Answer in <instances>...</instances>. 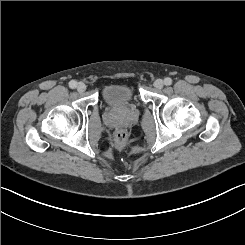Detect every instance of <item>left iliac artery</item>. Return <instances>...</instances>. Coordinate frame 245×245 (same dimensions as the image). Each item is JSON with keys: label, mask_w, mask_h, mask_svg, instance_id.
Masks as SVG:
<instances>
[{"label": "left iliac artery", "mask_w": 245, "mask_h": 245, "mask_svg": "<svg viewBox=\"0 0 245 245\" xmlns=\"http://www.w3.org/2000/svg\"><path fill=\"white\" fill-rule=\"evenodd\" d=\"M164 83H165V85H171L172 84V79L167 77V78L164 79Z\"/></svg>", "instance_id": "left-iliac-artery-1"}]
</instances>
